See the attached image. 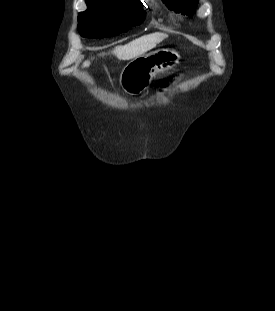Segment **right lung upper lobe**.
<instances>
[{"instance_id":"cb5924a9","label":"right lung upper lobe","mask_w":275,"mask_h":311,"mask_svg":"<svg viewBox=\"0 0 275 311\" xmlns=\"http://www.w3.org/2000/svg\"><path fill=\"white\" fill-rule=\"evenodd\" d=\"M85 1L87 5H90L93 3H120V2L135 1V0H85Z\"/></svg>"}]
</instances>
